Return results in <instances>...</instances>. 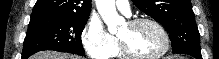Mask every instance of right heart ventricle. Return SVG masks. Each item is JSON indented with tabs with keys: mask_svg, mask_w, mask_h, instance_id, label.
Returning <instances> with one entry per match:
<instances>
[{
	"mask_svg": "<svg viewBox=\"0 0 219 59\" xmlns=\"http://www.w3.org/2000/svg\"><path fill=\"white\" fill-rule=\"evenodd\" d=\"M112 56H120L119 49L116 48Z\"/></svg>",
	"mask_w": 219,
	"mask_h": 59,
	"instance_id": "1",
	"label": "right heart ventricle"
}]
</instances>
